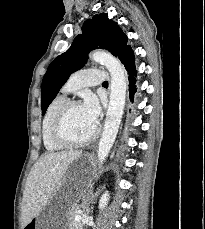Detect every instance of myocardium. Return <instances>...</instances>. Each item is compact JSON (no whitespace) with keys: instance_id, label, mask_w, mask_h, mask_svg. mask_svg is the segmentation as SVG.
Returning a JSON list of instances; mask_svg holds the SVG:
<instances>
[{"instance_id":"f54148a6","label":"myocardium","mask_w":205,"mask_h":229,"mask_svg":"<svg viewBox=\"0 0 205 229\" xmlns=\"http://www.w3.org/2000/svg\"><path fill=\"white\" fill-rule=\"evenodd\" d=\"M80 105L79 101L68 100L57 111L52 126V137L56 143L63 147H82L92 142L100 131L99 124L96 123L93 132L85 139L74 141L64 135L63 129L68 112L74 106Z\"/></svg>"}]
</instances>
